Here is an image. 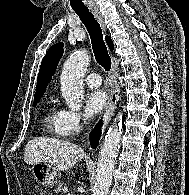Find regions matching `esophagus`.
Returning <instances> with one entry per match:
<instances>
[{
  "instance_id": "esophagus-1",
  "label": "esophagus",
  "mask_w": 189,
  "mask_h": 195,
  "mask_svg": "<svg viewBox=\"0 0 189 195\" xmlns=\"http://www.w3.org/2000/svg\"><path fill=\"white\" fill-rule=\"evenodd\" d=\"M91 12L94 14L95 18L99 22L102 30L106 33V26L104 23L103 16L101 15L99 9L97 6H91L90 7ZM117 60L114 56H112V66L110 70V77L113 83L112 91L110 94V98L108 101V104L106 106V109L103 114V120L104 125L103 128L107 125L108 121H110L111 117L113 116L114 110L116 108L118 99H119V88H118V74H117Z\"/></svg>"
}]
</instances>
